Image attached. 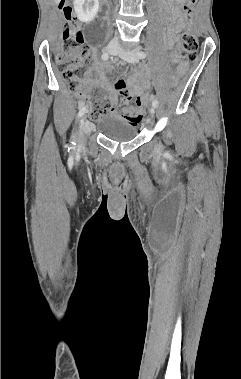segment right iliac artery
Listing matches in <instances>:
<instances>
[{"label":"right iliac artery","mask_w":241,"mask_h":379,"mask_svg":"<svg viewBox=\"0 0 241 379\" xmlns=\"http://www.w3.org/2000/svg\"><path fill=\"white\" fill-rule=\"evenodd\" d=\"M101 58H102V60H104V61H105V60H108V58H109V54H108L107 52H104V53L102 54ZM85 111H86V108H85V107L81 108L80 111H79V113H78L77 118L79 119L80 117H82V115L85 113ZM75 145H76V143H75V136H73V137H72V141H71V146H72V148H74Z\"/></svg>","instance_id":"obj_1"}]
</instances>
